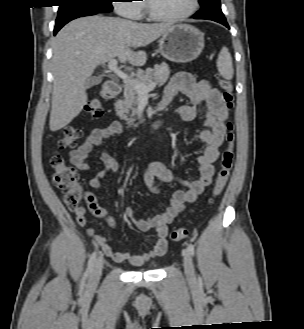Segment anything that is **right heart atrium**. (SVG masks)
<instances>
[{
  "mask_svg": "<svg viewBox=\"0 0 304 329\" xmlns=\"http://www.w3.org/2000/svg\"><path fill=\"white\" fill-rule=\"evenodd\" d=\"M142 0H116V12L129 19H140L143 13V4H135L133 2H141Z\"/></svg>",
  "mask_w": 304,
  "mask_h": 329,
  "instance_id": "obj_1",
  "label": "right heart atrium"
}]
</instances>
